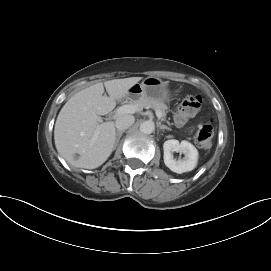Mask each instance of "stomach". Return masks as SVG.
<instances>
[{"label":"stomach","instance_id":"stomach-1","mask_svg":"<svg viewBox=\"0 0 271 271\" xmlns=\"http://www.w3.org/2000/svg\"><path fill=\"white\" fill-rule=\"evenodd\" d=\"M127 99L150 98L160 102L169 101L171 98L167 84L157 77H147L141 83L133 85L126 96Z\"/></svg>","mask_w":271,"mask_h":271}]
</instances>
